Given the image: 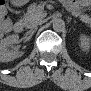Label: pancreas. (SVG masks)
I'll return each mask as SVG.
<instances>
[{"instance_id": "cf45deb5", "label": "pancreas", "mask_w": 91, "mask_h": 91, "mask_svg": "<svg viewBox=\"0 0 91 91\" xmlns=\"http://www.w3.org/2000/svg\"><path fill=\"white\" fill-rule=\"evenodd\" d=\"M68 7L72 10L75 16H79L87 24L90 23V17L87 15H82L78 6H76L75 4H69ZM43 15L44 13L42 6L31 4L27 9L26 15L23 17V22L27 26L28 24L41 19Z\"/></svg>"}]
</instances>
